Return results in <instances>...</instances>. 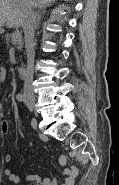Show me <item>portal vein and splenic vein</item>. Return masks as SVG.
Segmentation results:
<instances>
[{"mask_svg":"<svg viewBox=\"0 0 119 185\" xmlns=\"http://www.w3.org/2000/svg\"><path fill=\"white\" fill-rule=\"evenodd\" d=\"M21 39V32L15 31L12 35V42L13 44H16Z\"/></svg>","mask_w":119,"mask_h":185,"instance_id":"1","label":"portal vein and splenic vein"}]
</instances>
